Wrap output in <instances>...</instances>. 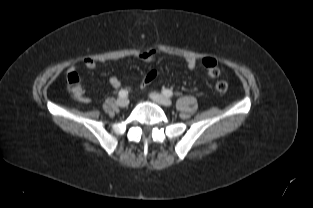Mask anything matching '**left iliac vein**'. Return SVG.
Segmentation results:
<instances>
[{
  "label": "left iliac vein",
  "instance_id": "left-iliac-vein-1",
  "mask_svg": "<svg viewBox=\"0 0 313 208\" xmlns=\"http://www.w3.org/2000/svg\"><path fill=\"white\" fill-rule=\"evenodd\" d=\"M149 96L154 102L160 105L170 106L172 104L171 100L167 96H164L162 94L153 92V93H150Z\"/></svg>",
  "mask_w": 313,
  "mask_h": 208
}]
</instances>
